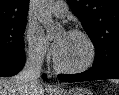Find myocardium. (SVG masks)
I'll return each instance as SVG.
<instances>
[{
    "label": "myocardium",
    "mask_w": 119,
    "mask_h": 95,
    "mask_svg": "<svg viewBox=\"0 0 119 95\" xmlns=\"http://www.w3.org/2000/svg\"><path fill=\"white\" fill-rule=\"evenodd\" d=\"M68 33L81 36L86 41L88 48H89L88 58L86 62L80 66L65 67L57 61L56 56H55L53 59L54 67L57 71L66 73V74H79V73L86 72L93 66L96 60V56H97L96 45L93 39L90 37V35L81 29H71L68 31Z\"/></svg>",
    "instance_id": "1"
}]
</instances>
